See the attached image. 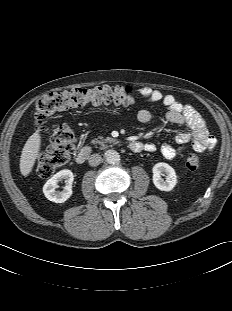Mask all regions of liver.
I'll list each match as a JSON object with an SVG mask.
<instances>
[{
    "instance_id": "liver-1",
    "label": "liver",
    "mask_w": 232,
    "mask_h": 311,
    "mask_svg": "<svg viewBox=\"0 0 232 311\" xmlns=\"http://www.w3.org/2000/svg\"><path fill=\"white\" fill-rule=\"evenodd\" d=\"M41 147V135L39 131L32 134L26 141L20 158V172L23 176H28L33 169L35 161L39 155Z\"/></svg>"
}]
</instances>
